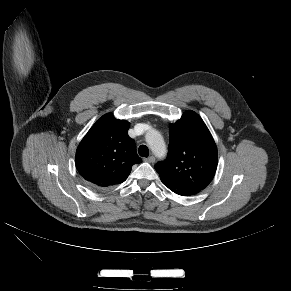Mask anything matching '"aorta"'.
I'll list each match as a JSON object with an SVG mask.
<instances>
[{
    "instance_id": "aorta-1",
    "label": "aorta",
    "mask_w": 291,
    "mask_h": 291,
    "mask_svg": "<svg viewBox=\"0 0 291 291\" xmlns=\"http://www.w3.org/2000/svg\"><path fill=\"white\" fill-rule=\"evenodd\" d=\"M146 142L151 148L154 155L158 158H162L166 154V145L162 135L157 130H150L146 133Z\"/></svg>"
}]
</instances>
